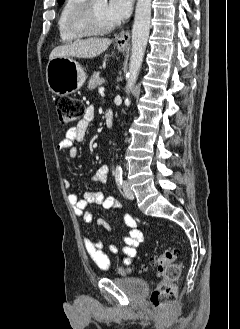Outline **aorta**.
<instances>
[{
  "label": "aorta",
  "instance_id": "aorta-1",
  "mask_svg": "<svg viewBox=\"0 0 240 329\" xmlns=\"http://www.w3.org/2000/svg\"><path fill=\"white\" fill-rule=\"evenodd\" d=\"M151 1L137 0L132 28V48L126 85L127 93L133 89L142 66L150 31ZM125 102H129V99L127 98Z\"/></svg>",
  "mask_w": 240,
  "mask_h": 329
}]
</instances>
